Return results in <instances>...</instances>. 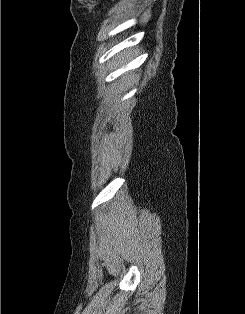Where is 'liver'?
Listing matches in <instances>:
<instances>
[{"label":"liver","instance_id":"1","mask_svg":"<svg viewBox=\"0 0 245 314\" xmlns=\"http://www.w3.org/2000/svg\"><path fill=\"white\" fill-rule=\"evenodd\" d=\"M132 51H128V52H125L124 55H121L118 57V60H117V65L119 66H122L124 65L127 61H128V58L132 56ZM129 78H132L131 76H127L126 79H129Z\"/></svg>","mask_w":245,"mask_h":314}]
</instances>
